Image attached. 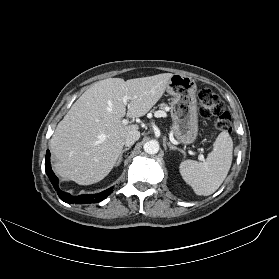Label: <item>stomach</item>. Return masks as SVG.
Returning <instances> with one entry per match:
<instances>
[{
    "label": "stomach",
    "instance_id": "0dacf381",
    "mask_svg": "<svg viewBox=\"0 0 279 279\" xmlns=\"http://www.w3.org/2000/svg\"><path fill=\"white\" fill-rule=\"evenodd\" d=\"M166 91L173 96L171 102L172 130L182 144H191L198 134L197 85L188 76L173 74Z\"/></svg>",
    "mask_w": 279,
    "mask_h": 279
}]
</instances>
